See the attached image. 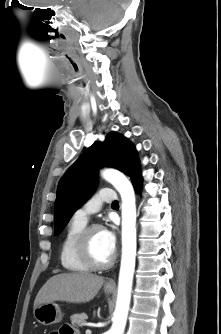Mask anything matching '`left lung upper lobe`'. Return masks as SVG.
I'll return each instance as SVG.
<instances>
[{
  "label": "left lung upper lobe",
  "mask_w": 221,
  "mask_h": 334,
  "mask_svg": "<svg viewBox=\"0 0 221 334\" xmlns=\"http://www.w3.org/2000/svg\"><path fill=\"white\" fill-rule=\"evenodd\" d=\"M109 166L131 179L140 171L136 149L128 139L109 133L104 143L89 147L67 170L57 187L54 207V232L60 234L73 213L92 195L99 167Z\"/></svg>",
  "instance_id": "5c2ea615"
}]
</instances>
